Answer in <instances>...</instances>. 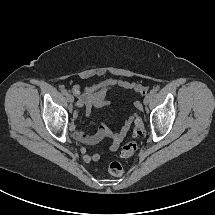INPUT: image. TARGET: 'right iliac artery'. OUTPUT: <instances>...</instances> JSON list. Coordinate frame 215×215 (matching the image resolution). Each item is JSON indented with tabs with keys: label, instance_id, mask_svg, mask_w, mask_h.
<instances>
[{
	"label": "right iliac artery",
	"instance_id": "1",
	"mask_svg": "<svg viewBox=\"0 0 215 215\" xmlns=\"http://www.w3.org/2000/svg\"><path fill=\"white\" fill-rule=\"evenodd\" d=\"M61 92H62V94H63V95H65V96H67V95H68V92H67V90H66V89H62V90H61Z\"/></svg>",
	"mask_w": 215,
	"mask_h": 215
}]
</instances>
